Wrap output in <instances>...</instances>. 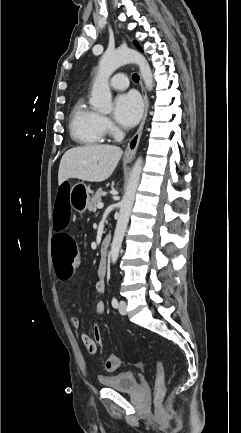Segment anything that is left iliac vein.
<instances>
[{
	"instance_id": "1",
	"label": "left iliac vein",
	"mask_w": 241,
	"mask_h": 433,
	"mask_svg": "<svg viewBox=\"0 0 241 433\" xmlns=\"http://www.w3.org/2000/svg\"><path fill=\"white\" fill-rule=\"evenodd\" d=\"M126 307H127L126 302L124 300H121L119 302V307H118L120 314L122 315L126 314Z\"/></svg>"
}]
</instances>
